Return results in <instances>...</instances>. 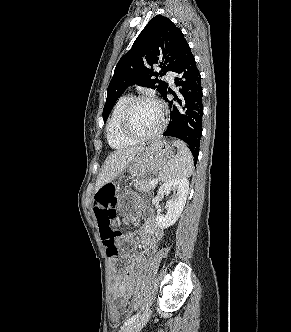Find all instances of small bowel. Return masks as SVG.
<instances>
[{
	"instance_id": "obj_1",
	"label": "small bowel",
	"mask_w": 291,
	"mask_h": 332,
	"mask_svg": "<svg viewBox=\"0 0 291 332\" xmlns=\"http://www.w3.org/2000/svg\"><path fill=\"white\" fill-rule=\"evenodd\" d=\"M103 190L114 191V187L110 183L103 184L96 192V195ZM94 213L96 216L95 199ZM139 237V252L134 256H131L130 251L125 248L126 244L133 243V236L129 234L122 236L121 238L122 250L119 257L122 259H129L130 264L122 275L114 277L111 287V298L121 307L125 306L133 294L136 283V266L140 261L157 249L158 243L162 237V232L153 220H148L144 223L141 231L139 232Z\"/></svg>"
}]
</instances>
